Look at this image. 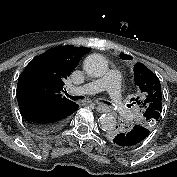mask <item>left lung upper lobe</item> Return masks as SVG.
<instances>
[{"label": "left lung upper lobe", "mask_w": 177, "mask_h": 177, "mask_svg": "<svg viewBox=\"0 0 177 177\" xmlns=\"http://www.w3.org/2000/svg\"><path fill=\"white\" fill-rule=\"evenodd\" d=\"M135 84L140 91V97L132 99L140 107L142 117L140 125L152 129L162 113V92L158 77L142 63L134 67Z\"/></svg>", "instance_id": "left-lung-upper-lobe-1"}]
</instances>
